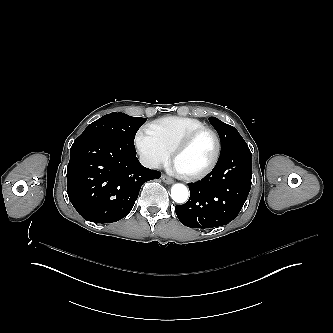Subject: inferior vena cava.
<instances>
[{
    "instance_id": "obj_1",
    "label": "inferior vena cava",
    "mask_w": 333,
    "mask_h": 333,
    "mask_svg": "<svg viewBox=\"0 0 333 333\" xmlns=\"http://www.w3.org/2000/svg\"><path fill=\"white\" fill-rule=\"evenodd\" d=\"M140 162L142 165H144L145 167H148V168H158L159 167L158 162L149 160L145 156L140 157Z\"/></svg>"
}]
</instances>
